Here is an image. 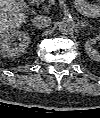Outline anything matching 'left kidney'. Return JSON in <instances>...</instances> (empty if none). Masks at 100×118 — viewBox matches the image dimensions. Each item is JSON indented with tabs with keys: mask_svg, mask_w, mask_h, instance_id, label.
Returning a JSON list of instances; mask_svg holds the SVG:
<instances>
[{
	"mask_svg": "<svg viewBox=\"0 0 100 118\" xmlns=\"http://www.w3.org/2000/svg\"><path fill=\"white\" fill-rule=\"evenodd\" d=\"M96 39H90L85 44L86 53L88 56L95 61H100V53L95 50L92 46L95 44Z\"/></svg>",
	"mask_w": 100,
	"mask_h": 118,
	"instance_id": "obj_1",
	"label": "left kidney"
}]
</instances>
